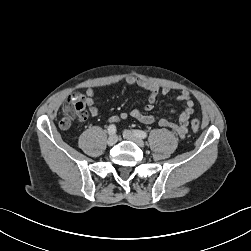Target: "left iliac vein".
Listing matches in <instances>:
<instances>
[{
  "instance_id": "obj_1",
  "label": "left iliac vein",
  "mask_w": 251,
  "mask_h": 251,
  "mask_svg": "<svg viewBox=\"0 0 251 251\" xmlns=\"http://www.w3.org/2000/svg\"><path fill=\"white\" fill-rule=\"evenodd\" d=\"M123 135L127 140L134 142L139 147H144V141L140 137H138L133 131L125 130L123 132Z\"/></svg>"
}]
</instances>
